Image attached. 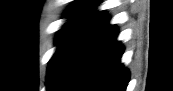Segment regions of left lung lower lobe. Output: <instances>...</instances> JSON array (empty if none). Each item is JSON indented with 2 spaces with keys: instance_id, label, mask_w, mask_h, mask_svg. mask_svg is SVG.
I'll return each mask as SVG.
<instances>
[{
  "instance_id": "left-lung-lower-lobe-1",
  "label": "left lung lower lobe",
  "mask_w": 173,
  "mask_h": 91,
  "mask_svg": "<svg viewBox=\"0 0 173 91\" xmlns=\"http://www.w3.org/2000/svg\"><path fill=\"white\" fill-rule=\"evenodd\" d=\"M104 16L70 55L51 91H125L129 71L115 25Z\"/></svg>"
}]
</instances>
